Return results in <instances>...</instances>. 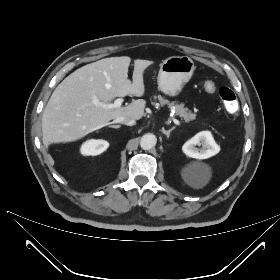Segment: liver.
Returning a JSON list of instances; mask_svg holds the SVG:
<instances>
[{
	"label": "liver",
	"mask_w": 280,
	"mask_h": 280,
	"mask_svg": "<svg viewBox=\"0 0 280 280\" xmlns=\"http://www.w3.org/2000/svg\"><path fill=\"white\" fill-rule=\"evenodd\" d=\"M130 57H110L87 64L67 76L52 93L42 117L43 143L71 142L105 126L120 116L140 120L146 101L138 99L121 108H107L116 97L144 95L143 73L152 62Z\"/></svg>",
	"instance_id": "1"
}]
</instances>
